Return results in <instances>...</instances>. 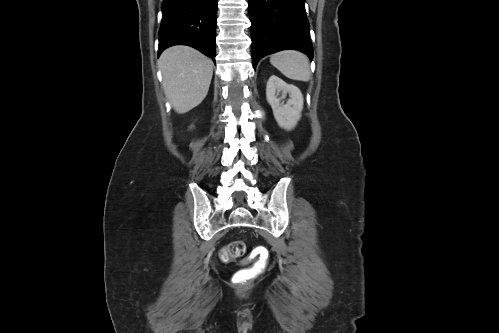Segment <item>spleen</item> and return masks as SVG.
<instances>
[{"instance_id":"3e777b00","label":"spleen","mask_w":499,"mask_h":333,"mask_svg":"<svg viewBox=\"0 0 499 333\" xmlns=\"http://www.w3.org/2000/svg\"><path fill=\"white\" fill-rule=\"evenodd\" d=\"M270 63L286 77L309 81L311 73L306 55L294 50L281 51L270 57Z\"/></svg>"}]
</instances>
